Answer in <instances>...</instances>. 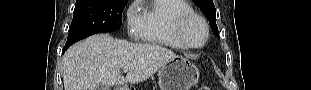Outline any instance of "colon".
<instances>
[{
    "label": "colon",
    "instance_id": "colon-1",
    "mask_svg": "<svg viewBox=\"0 0 311 90\" xmlns=\"http://www.w3.org/2000/svg\"><path fill=\"white\" fill-rule=\"evenodd\" d=\"M199 90H210V88L209 87H201V88H199Z\"/></svg>",
    "mask_w": 311,
    "mask_h": 90
}]
</instances>
